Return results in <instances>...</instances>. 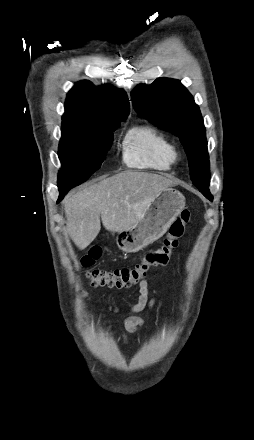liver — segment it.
I'll list each match as a JSON object with an SVG mask.
<instances>
[{
	"instance_id": "liver-1",
	"label": "liver",
	"mask_w": 254,
	"mask_h": 440,
	"mask_svg": "<svg viewBox=\"0 0 254 440\" xmlns=\"http://www.w3.org/2000/svg\"><path fill=\"white\" fill-rule=\"evenodd\" d=\"M174 182L161 175L124 171L93 184L65 199L67 230L81 250L88 247L103 226L121 232L143 217L152 199Z\"/></svg>"
}]
</instances>
